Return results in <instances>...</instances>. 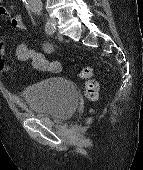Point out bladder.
<instances>
[{
    "label": "bladder",
    "mask_w": 143,
    "mask_h": 170,
    "mask_svg": "<svg viewBox=\"0 0 143 170\" xmlns=\"http://www.w3.org/2000/svg\"><path fill=\"white\" fill-rule=\"evenodd\" d=\"M21 96L32 115L52 120L69 118L78 105L76 87L58 76H49L29 85L21 91Z\"/></svg>",
    "instance_id": "1"
}]
</instances>
